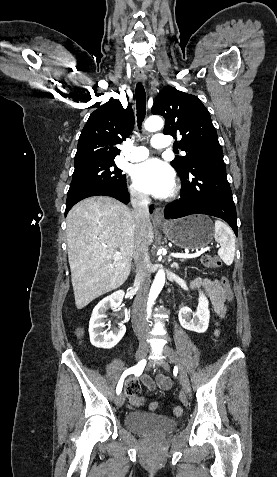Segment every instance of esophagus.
I'll list each match as a JSON object with an SVG mask.
<instances>
[{
  "instance_id": "34e87169",
  "label": "esophagus",
  "mask_w": 277,
  "mask_h": 477,
  "mask_svg": "<svg viewBox=\"0 0 277 477\" xmlns=\"http://www.w3.org/2000/svg\"><path fill=\"white\" fill-rule=\"evenodd\" d=\"M135 76H136V79L139 82H141V83L145 82L146 77H145V74H144L143 71H137ZM153 221H154V223L159 224V225L166 224V221H165V219L163 218V215H162L161 208H159V207L155 208L154 215H153Z\"/></svg>"
}]
</instances>
